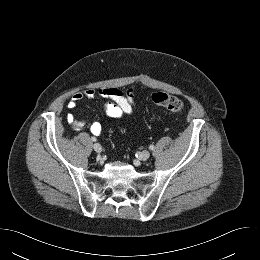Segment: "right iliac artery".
<instances>
[{
    "mask_svg": "<svg viewBox=\"0 0 260 260\" xmlns=\"http://www.w3.org/2000/svg\"><path fill=\"white\" fill-rule=\"evenodd\" d=\"M91 140H92V141H96V138H95V137H91Z\"/></svg>",
    "mask_w": 260,
    "mask_h": 260,
    "instance_id": "obj_1",
    "label": "right iliac artery"
}]
</instances>
